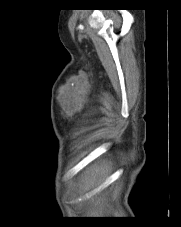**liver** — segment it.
<instances>
[{"label":"liver","mask_w":181,"mask_h":227,"mask_svg":"<svg viewBox=\"0 0 181 227\" xmlns=\"http://www.w3.org/2000/svg\"><path fill=\"white\" fill-rule=\"evenodd\" d=\"M104 179H105L104 170L99 167H96L92 171L91 177L86 178L85 190L88 191L94 188L95 186L99 185ZM89 203L90 206L93 207L92 209H90V213L91 214L98 213V209L96 208V200L94 198H91ZM100 213H102V211Z\"/></svg>","instance_id":"6515ba94"}]
</instances>
